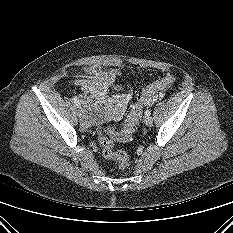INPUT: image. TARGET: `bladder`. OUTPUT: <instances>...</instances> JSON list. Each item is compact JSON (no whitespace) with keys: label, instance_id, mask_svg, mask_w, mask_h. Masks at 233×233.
<instances>
[{"label":"bladder","instance_id":"31cf9c89","mask_svg":"<svg viewBox=\"0 0 233 233\" xmlns=\"http://www.w3.org/2000/svg\"><path fill=\"white\" fill-rule=\"evenodd\" d=\"M82 106L90 125H100L107 117L106 111L98 98H84L82 99Z\"/></svg>","mask_w":233,"mask_h":233}]
</instances>
